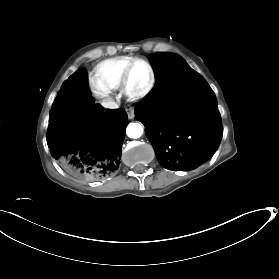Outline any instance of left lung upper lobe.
<instances>
[{"mask_svg": "<svg viewBox=\"0 0 279 279\" xmlns=\"http://www.w3.org/2000/svg\"><path fill=\"white\" fill-rule=\"evenodd\" d=\"M156 75V84L144 98L151 102L165 98L176 91L189 77L197 73L177 54L155 53L149 58Z\"/></svg>", "mask_w": 279, "mask_h": 279, "instance_id": "1", "label": "left lung upper lobe"}]
</instances>
